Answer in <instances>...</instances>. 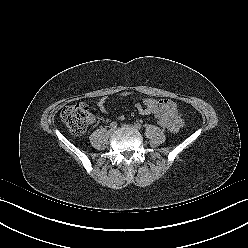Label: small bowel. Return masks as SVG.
<instances>
[{
    "label": "small bowel",
    "instance_id": "1",
    "mask_svg": "<svg viewBox=\"0 0 248 248\" xmlns=\"http://www.w3.org/2000/svg\"><path fill=\"white\" fill-rule=\"evenodd\" d=\"M131 95L132 93L127 91L120 93L121 97H129ZM97 104L102 112H106V97H102ZM135 107L142 115H152L156 119H165L169 124V130L172 132H177L183 124L178 107L171 100L141 97L140 102H137Z\"/></svg>",
    "mask_w": 248,
    "mask_h": 248
}]
</instances>
